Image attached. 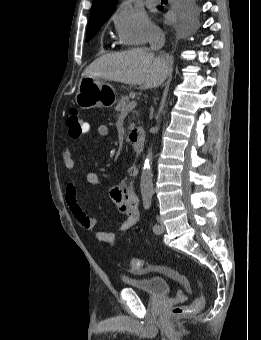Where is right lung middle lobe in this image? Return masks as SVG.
Masks as SVG:
<instances>
[{
    "mask_svg": "<svg viewBox=\"0 0 261 340\" xmlns=\"http://www.w3.org/2000/svg\"><path fill=\"white\" fill-rule=\"evenodd\" d=\"M180 12L186 25L191 26L196 22L197 7L194 0H182ZM108 18L99 19L88 24L86 41H89L98 32Z\"/></svg>",
    "mask_w": 261,
    "mask_h": 340,
    "instance_id": "dd1d6c3e",
    "label": "right lung middle lobe"
}]
</instances>
